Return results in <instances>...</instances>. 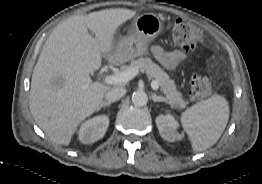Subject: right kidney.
I'll list each match as a JSON object with an SVG mask.
<instances>
[{"mask_svg": "<svg viewBox=\"0 0 262 184\" xmlns=\"http://www.w3.org/2000/svg\"><path fill=\"white\" fill-rule=\"evenodd\" d=\"M109 126V118L106 115L95 116L82 123L78 131V139L84 144H90L100 140Z\"/></svg>", "mask_w": 262, "mask_h": 184, "instance_id": "ca27d5eb", "label": "right kidney"}]
</instances>
